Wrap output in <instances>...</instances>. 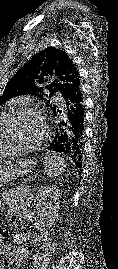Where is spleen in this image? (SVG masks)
Here are the masks:
<instances>
[{"mask_svg":"<svg viewBox=\"0 0 118 269\" xmlns=\"http://www.w3.org/2000/svg\"><path fill=\"white\" fill-rule=\"evenodd\" d=\"M66 167L64 158L56 153L47 152L44 160L45 174L50 177L60 175Z\"/></svg>","mask_w":118,"mask_h":269,"instance_id":"1","label":"spleen"}]
</instances>
